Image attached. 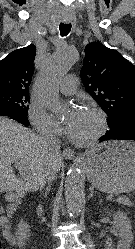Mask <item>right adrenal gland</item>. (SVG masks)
<instances>
[{
  "instance_id": "right-adrenal-gland-1",
  "label": "right adrenal gland",
  "mask_w": 135,
  "mask_h": 249,
  "mask_svg": "<svg viewBox=\"0 0 135 249\" xmlns=\"http://www.w3.org/2000/svg\"><path fill=\"white\" fill-rule=\"evenodd\" d=\"M50 191V184H49V186L47 187V189H46V192H45V195H47V193Z\"/></svg>"
}]
</instances>
